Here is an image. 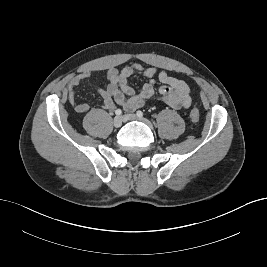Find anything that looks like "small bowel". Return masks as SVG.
I'll return each mask as SVG.
<instances>
[{
  "mask_svg": "<svg viewBox=\"0 0 267 267\" xmlns=\"http://www.w3.org/2000/svg\"><path fill=\"white\" fill-rule=\"evenodd\" d=\"M134 75L146 78V83L139 91L129 84ZM91 73L86 71L73 77L67 85L68 101L79 114H86L90 110L87 103L76 102V88L83 82L89 81ZM107 85L99 88L98 93L102 99V106L106 110H113L117 105L126 111H134L142 107L157 92L160 98L174 109H187L192 99L188 84L165 70L158 71L153 66L141 63H132L118 69L110 68L106 72ZM160 85L157 87V84Z\"/></svg>",
  "mask_w": 267,
  "mask_h": 267,
  "instance_id": "small-bowel-1",
  "label": "small bowel"
}]
</instances>
